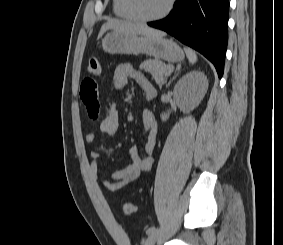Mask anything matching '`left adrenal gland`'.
Listing matches in <instances>:
<instances>
[{
  "label": "left adrenal gland",
  "mask_w": 283,
  "mask_h": 245,
  "mask_svg": "<svg viewBox=\"0 0 283 245\" xmlns=\"http://www.w3.org/2000/svg\"><path fill=\"white\" fill-rule=\"evenodd\" d=\"M176 77V75L169 81V83L167 84V87L170 85L171 81Z\"/></svg>",
  "instance_id": "obj_1"
}]
</instances>
